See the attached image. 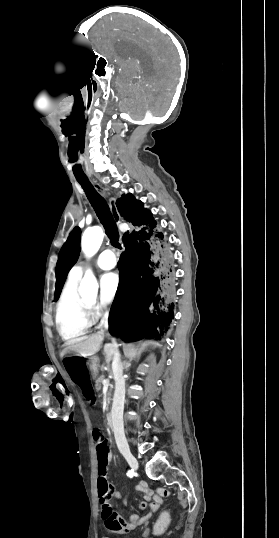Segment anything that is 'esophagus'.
I'll use <instances>...</instances> for the list:
<instances>
[{"label":"esophagus","instance_id":"esophagus-1","mask_svg":"<svg viewBox=\"0 0 279 538\" xmlns=\"http://www.w3.org/2000/svg\"><path fill=\"white\" fill-rule=\"evenodd\" d=\"M109 206H110V210H111L115 223L119 225L122 221V217L120 216L117 210L115 198L112 197L109 199Z\"/></svg>","mask_w":279,"mask_h":538}]
</instances>
